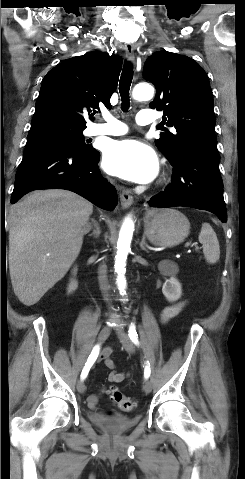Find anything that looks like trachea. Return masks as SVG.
I'll list each match as a JSON object with an SVG mask.
<instances>
[{
  "instance_id": "obj_1",
  "label": "trachea",
  "mask_w": 245,
  "mask_h": 479,
  "mask_svg": "<svg viewBox=\"0 0 245 479\" xmlns=\"http://www.w3.org/2000/svg\"><path fill=\"white\" fill-rule=\"evenodd\" d=\"M133 79V67L130 63H126L120 78L119 92L122 100V107L124 111L129 108V90Z\"/></svg>"
}]
</instances>
